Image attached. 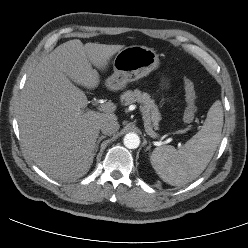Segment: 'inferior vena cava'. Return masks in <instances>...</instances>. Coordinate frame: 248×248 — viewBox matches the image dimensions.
I'll return each mask as SVG.
<instances>
[{
  "label": "inferior vena cava",
  "mask_w": 248,
  "mask_h": 248,
  "mask_svg": "<svg viewBox=\"0 0 248 248\" xmlns=\"http://www.w3.org/2000/svg\"><path fill=\"white\" fill-rule=\"evenodd\" d=\"M119 123L114 118H108L101 122L100 129L103 134L111 135L118 131Z\"/></svg>",
  "instance_id": "obj_1"
}]
</instances>
